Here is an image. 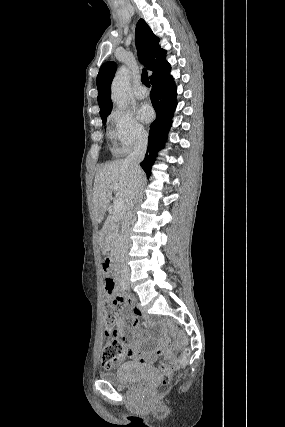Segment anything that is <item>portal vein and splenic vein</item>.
Masks as SVG:
<instances>
[{
  "instance_id": "obj_1",
  "label": "portal vein and splenic vein",
  "mask_w": 285,
  "mask_h": 427,
  "mask_svg": "<svg viewBox=\"0 0 285 427\" xmlns=\"http://www.w3.org/2000/svg\"><path fill=\"white\" fill-rule=\"evenodd\" d=\"M112 189L113 190H117V185H112ZM123 200L122 199H120V198H118V199H116L115 201H114V206H113V208H114V212L115 213H119L121 210H122V208H123Z\"/></svg>"
}]
</instances>
